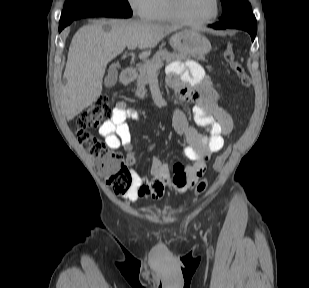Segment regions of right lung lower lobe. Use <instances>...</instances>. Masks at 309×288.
Returning a JSON list of instances; mask_svg holds the SVG:
<instances>
[{
	"label": "right lung lower lobe",
	"mask_w": 309,
	"mask_h": 288,
	"mask_svg": "<svg viewBox=\"0 0 309 288\" xmlns=\"http://www.w3.org/2000/svg\"><path fill=\"white\" fill-rule=\"evenodd\" d=\"M94 16H104V17H113V18H129L132 16V13L125 12V11H118V10H93V11H90L84 14L80 18L94 17ZM64 27L65 26H59V32H61Z\"/></svg>",
	"instance_id": "obj_1"
}]
</instances>
